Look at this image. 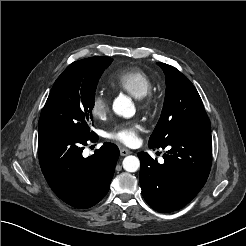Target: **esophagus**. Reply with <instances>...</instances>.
<instances>
[{
    "label": "esophagus",
    "instance_id": "34e87169",
    "mask_svg": "<svg viewBox=\"0 0 246 246\" xmlns=\"http://www.w3.org/2000/svg\"><path fill=\"white\" fill-rule=\"evenodd\" d=\"M129 154H131V151L130 150H128L126 148H121L120 149V155L121 156H126V155H129Z\"/></svg>",
    "mask_w": 246,
    "mask_h": 246
}]
</instances>
